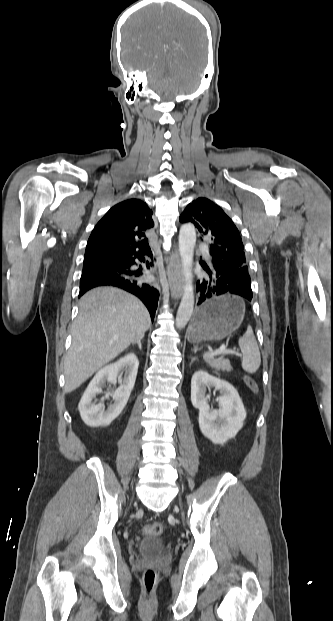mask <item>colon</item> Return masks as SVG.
I'll list each match as a JSON object with an SVG mask.
<instances>
[{"label":"colon","mask_w":333,"mask_h":621,"mask_svg":"<svg viewBox=\"0 0 333 621\" xmlns=\"http://www.w3.org/2000/svg\"><path fill=\"white\" fill-rule=\"evenodd\" d=\"M245 383L252 391L257 390V385L252 378L246 376ZM165 530H166V525L164 523L154 522V523L145 525L143 527L142 532L144 535L158 536V535L163 534ZM155 582H156V572L153 569H150V568L147 569L143 575V591H144V597L146 601L151 600Z\"/></svg>","instance_id":"obj_1"}]
</instances>
